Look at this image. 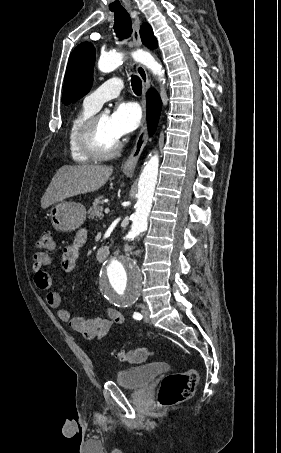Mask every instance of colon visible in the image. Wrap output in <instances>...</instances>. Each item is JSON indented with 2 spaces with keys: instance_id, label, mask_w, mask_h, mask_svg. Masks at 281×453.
Instances as JSON below:
<instances>
[{
  "instance_id": "1",
  "label": "colon",
  "mask_w": 281,
  "mask_h": 453,
  "mask_svg": "<svg viewBox=\"0 0 281 453\" xmlns=\"http://www.w3.org/2000/svg\"><path fill=\"white\" fill-rule=\"evenodd\" d=\"M55 231L45 229L37 242V250H53ZM156 355L154 349H122L116 351L119 360L129 363H145ZM197 371L193 367H187L183 372L166 375L161 383L159 404L167 409L177 403L184 402L190 398L192 385L196 379Z\"/></svg>"
}]
</instances>
